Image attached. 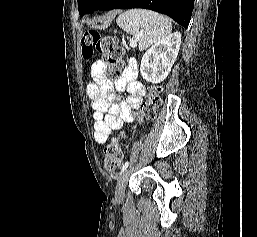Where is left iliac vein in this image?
Listing matches in <instances>:
<instances>
[{
  "label": "left iliac vein",
  "mask_w": 257,
  "mask_h": 237,
  "mask_svg": "<svg viewBox=\"0 0 257 237\" xmlns=\"http://www.w3.org/2000/svg\"><path fill=\"white\" fill-rule=\"evenodd\" d=\"M130 168L124 170L122 174L119 176L117 185H116V191H115V199L117 201H123L125 197V188L130 176Z\"/></svg>",
  "instance_id": "4c4485c4"
}]
</instances>
